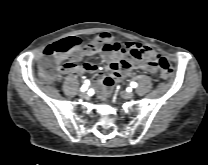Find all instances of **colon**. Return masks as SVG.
Returning a JSON list of instances; mask_svg holds the SVG:
<instances>
[{"label": "colon", "mask_w": 208, "mask_h": 165, "mask_svg": "<svg viewBox=\"0 0 208 165\" xmlns=\"http://www.w3.org/2000/svg\"><path fill=\"white\" fill-rule=\"evenodd\" d=\"M89 46L80 38L67 37L61 39L45 49L44 57L40 63V75L49 82H54L59 74V59L64 56H70L77 59ZM145 60L155 62L160 68V78L163 81H169L173 76V69L168 60L159 55H145Z\"/></svg>", "instance_id": "1"}]
</instances>
